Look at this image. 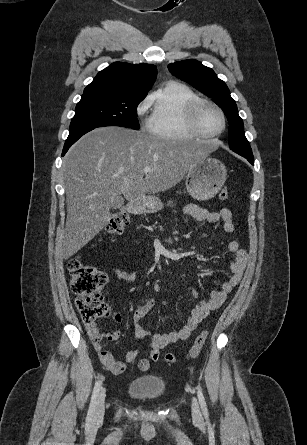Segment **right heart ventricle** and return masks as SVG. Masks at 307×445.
<instances>
[{"mask_svg": "<svg viewBox=\"0 0 307 445\" xmlns=\"http://www.w3.org/2000/svg\"><path fill=\"white\" fill-rule=\"evenodd\" d=\"M197 100L196 94L187 86L168 83L157 86L145 100L152 106L149 127L162 140H196L188 110Z\"/></svg>", "mask_w": 307, "mask_h": 445, "instance_id": "obj_1", "label": "right heart ventricle"}]
</instances>
